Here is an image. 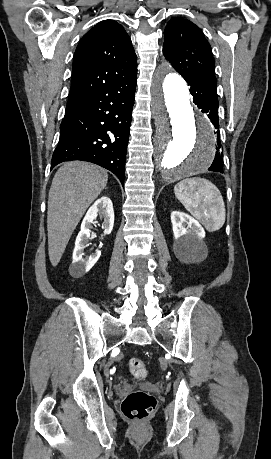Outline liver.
<instances>
[{"label":"liver","instance_id":"obj_1","mask_svg":"<svg viewBox=\"0 0 271 459\" xmlns=\"http://www.w3.org/2000/svg\"><path fill=\"white\" fill-rule=\"evenodd\" d=\"M108 182L103 168L89 162H64L56 172L48 198V253L59 263L65 247L84 212Z\"/></svg>","mask_w":271,"mask_h":459}]
</instances>
